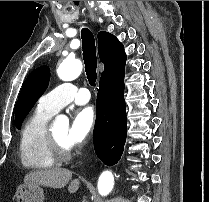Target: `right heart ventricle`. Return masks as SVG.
Masks as SVG:
<instances>
[{"instance_id":"right-heart-ventricle-1","label":"right heart ventricle","mask_w":209,"mask_h":202,"mask_svg":"<svg viewBox=\"0 0 209 202\" xmlns=\"http://www.w3.org/2000/svg\"><path fill=\"white\" fill-rule=\"evenodd\" d=\"M54 114L37 107L22 125L19 141V156L28 168L52 167L56 157L47 139V124Z\"/></svg>"}]
</instances>
